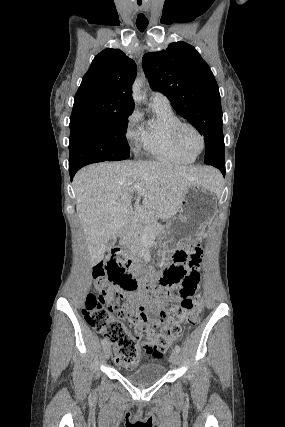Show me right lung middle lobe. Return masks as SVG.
Masks as SVG:
<instances>
[{"instance_id":"1","label":"right lung middle lobe","mask_w":285,"mask_h":427,"mask_svg":"<svg viewBox=\"0 0 285 427\" xmlns=\"http://www.w3.org/2000/svg\"><path fill=\"white\" fill-rule=\"evenodd\" d=\"M129 115H107L70 121L69 170L130 156L125 137Z\"/></svg>"}]
</instances>
